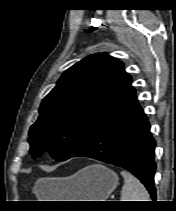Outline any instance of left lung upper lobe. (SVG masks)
I'll return each mask as SVG.
<instances>
[{
    "label": "left lung upper lobe",
    "mask_w": 176,
    "mask_h": 211,
    "mask_svg": "<svg viewBox=\"0 0 176 211\" xmlns=\"http://www.w3.org/2000/svg\"><path fill=\"white\" fill-rule=\"evenodd\" d=\"M121 61L90 55L65 71L43 99L29 131L30 153L48 151L65 161L86 145L110 117L133 102L136 90Z\"/></svg>",
    "instance_id": "left-lung-upper-lobe-1"
}]
</instances>
